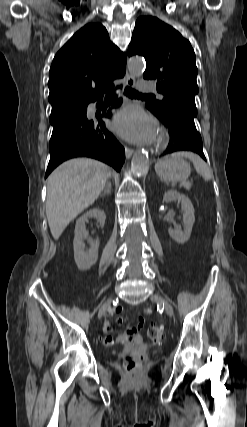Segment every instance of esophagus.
I'll use <instances>...</instances> for the list:
<instances>
[{
    "instance_id": "obj_1",
    "label": "esophagus",
    "mask_w": 247,
    "mask_h": 427,
    "mask_svg": "<svg viewBox=\"0 0 247 427\" xmlns=\"http://www.w3.org/2000/svg\"><path fill=\"white\" fill-rule=\"evenodd\" d=\"M134 84H135V78L131 74H129L127 72L126 73V85H128V86H134ZM133 153H134L133 149L128 148V147L125 148L126 158H130Z\"/></svg>"
}]
</instances>
